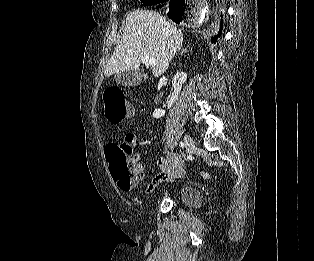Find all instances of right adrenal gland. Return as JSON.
<instances>
[{
  "label": "right adrenal gland",
  "mask_w": 314,
  "mask_h": 261,
  "mask_svg": "<svg viewBox=\"0 0 314 261\" xmlns=\"http://www.w3.org/2000/svg\"><path fill=\"white\" fill-rule=\"evenodd\" d=\"M187 51H188L187 49L182 48L180 55H183V54L186 53Z\"/></svg>",
  "instance_id": "1"
}]
</instances>
